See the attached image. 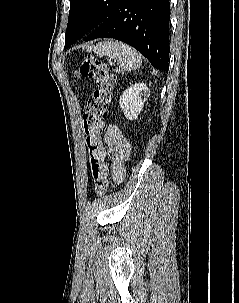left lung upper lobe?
I'll return each instance as SVG.
<instances>
[{"mask_svg":"<svg viewBox=\"0 0 239 303\" xmlns=\"http://www.w3.org/2000/svg\"><path fill=\"white\" fill-rule=\"evenodd\" d=\"M118 2L119 0H70L64 49L102 24Z\"/></svg>","mask_w":239,"mask_h":303,"instance_id":"left-lung-upper-lobe-1","label":"left lung upper lobe"}]
</instances>
